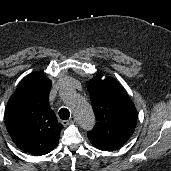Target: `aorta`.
Wrapping results in <instances>:
<instances>
[{
    "label": "aorta",
    "instance_id": "obj_1",
    "mask_svg": "<svg viewBox=\"0 0 171 171\" xmlns=\"http://www.w3.org/2000/svg\"><path fill=\"white\" fill-rule=\"evenodd\" d=\"M60 95L72 109L80 127L87 131L91 130L95 125V116L90 104L71 88H63Z\"/></svg>",
    "mask_w": 171,
    "mask_h": 171
}]
</instances>
